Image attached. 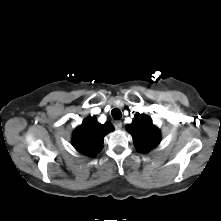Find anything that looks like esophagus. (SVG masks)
<instances>
[{"instance_id": "obj_1", "label": "esophagus", "mask_w": 221, "mask_h": 221, "mask_svg": "<svg viewBox=\"0 0 221 221\" xmlns=\"http://www.w3.org/2000/svg\"><path fill=\"white\" fill-rule=\"evenodd\" d=\"M114 126H115V128H116L117 130H120V129H122V122H121V121H116V122L114 123Z\"/></svg>"}]
</instances>
